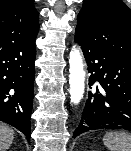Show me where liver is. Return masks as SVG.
<instances>
[{
    "mask_svg": "<svg viewBox=\"0 0 131 151\" xmlns=\"http://www.w3.org/2000/svg\"><path fill=\"white\" fill-rule=\"evenodd\" d=\"M13 138L12 129L0 122V151H7L13 142Z\"/></svg>",
    "mask_w": 131,
    "mask_h": 151,
    "instance_id": "liver-1",
    "label": "liver"
}]
</instances>
